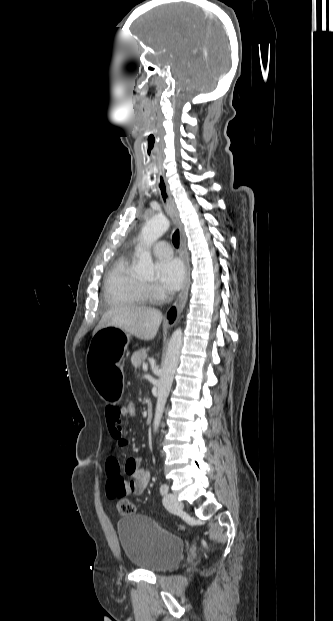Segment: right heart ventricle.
<instances>
[{
	"instance_id": "e07e8e85",
	"label": "right heart ventricle",
	"mask_w": 333,
	"mask_h": 621,
	"mask_svg": "<svg viewBox=\"0 0 333 621\" xmlns=\"http://www.w3.org/2000/svg\"><path fill=\"white\" fill-rule=\"evenodd\" d=\"M131 262V256H123L109 270L104 285L107 303L140 306L150 300L146 285L132 275Z\"/></svg>"
}]
</instances>
